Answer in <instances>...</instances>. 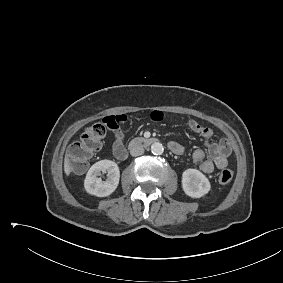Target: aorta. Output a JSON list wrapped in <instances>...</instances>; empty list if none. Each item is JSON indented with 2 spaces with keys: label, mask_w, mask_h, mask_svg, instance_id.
Masks as SVG:
<instances>
[{
  "label": "aorta",
  "mask_w": 283,
  "mask_h": 283,
  "mask_svg": "<svg viewBox=\"0 0 283 283\" xmlns=\"http://www.w3.org/2000/svg\"><path fill=\"white\" fill-rule=\"evenodd\" d=\"M164 151V147L161 143L155 142L151 145V152L154 155H161Z\"/></svg>",
  "instance_id": "obj_1"
}]
</instances>
